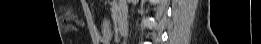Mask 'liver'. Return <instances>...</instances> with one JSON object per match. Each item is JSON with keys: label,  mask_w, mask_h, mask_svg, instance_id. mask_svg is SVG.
Wrapping results in <instances>:
<instances>
[{"label": "liver", "mask_w": 261, "mask_h": 44, "mask_svg": "<svg viewBox=\"0 0 261 44\" xmlns=\"http://www.w3.org/2000/svg\"><path fill=\"white\" fill-rule=\"evenodd\" d=\"M99 30H112V25H99Z\"/></svg>", "instance_id": "1"}]
</instances>
